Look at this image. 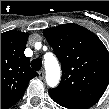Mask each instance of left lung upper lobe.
<instances>
[{"label": "left lung upper lobe", "mask_w": 109, "mask_h": 109, "mask_svg": "<svg viewBox=\"0 0 109 109\" xmlns=\"http://www.w3.org/2000/svg\"><path fill=\"white\" fill-rule=\"evenodd\" d=\"M61 62L62 79L50 89L93 106L109 84V52L88 29L73 23L43 31Z\"/></svg>", "instance_id": "obj_1"}]
</instances>
